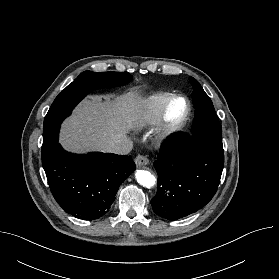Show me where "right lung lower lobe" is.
Segmentation results:
<instances>
[{
    "label": "right lung lower lobe",
    "instance_id": "obj_1",
    "mask_svg": "<svg viewBox=\"0 0 279 279\" xmlns=\"http://www.w3.org/2000/svg\"><path fill=\"white\" fill-rule=\"evenodd\" d=\"M42 165L57 203L82 220L106 214L119 186L136 168L131 156L77 155L63 150L59 143L42 158Z\"/></svg>",
    "mask_w": 279,
    "mask_h": 279
}]
</instances>
